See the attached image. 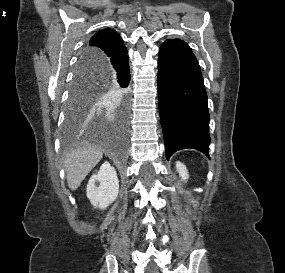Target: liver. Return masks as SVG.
<instances>
[{
    "instance_id": "obj_1",
    "label": "liver",
    "mask_w": 285,
    "mask_h": 273,
    "mask_svg": "<svg viewBox=\"0 0 285 273\" xmlns=\"http://www.w3.org/2000/svg\"><path fill=\"white\" fill-rule=\"evenodd\" d=\"M101 148L86 144L65 154L64 167L67 173V184L71 190H76L87 174L102 159Z\"/></svg>"
}]
</instances>
